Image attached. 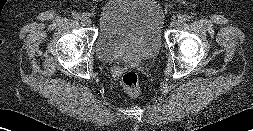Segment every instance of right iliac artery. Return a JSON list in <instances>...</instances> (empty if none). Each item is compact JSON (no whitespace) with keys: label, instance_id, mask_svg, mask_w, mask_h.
Listing matches in <instances>:
<instances>
[{"label":"right iliac artery","instance_id":"1","mask_svg":"<svg viewBox=\"0 0 253 131\" xmlns=\"http://www.w3.org/2000/svg\"><path fill=\"white\" fill-rule=\"evenodd\" d=\"M72 17H73L74 19H77V20L81 19V15H80L78 12H74V13L72 14Z\"/></svg>","mask_w":253,"mask_h":131}]
</instances>
